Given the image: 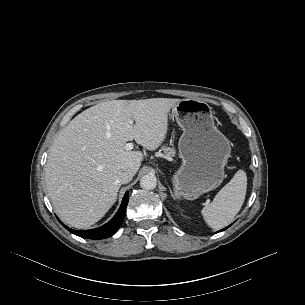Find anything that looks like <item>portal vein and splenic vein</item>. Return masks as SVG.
<instances>
[{
    "instance_id": "1",
    "label": "portal vein and splenic vein",
    "mask_w": 305,
    "mask_h": 305,
    "mask_svg": "<svg viewBox=\"0 0 305 305\" xmlns=\"http://www.w3.org/2000/svg\"><path fill=\"white\" fill-rule=\"evenodd\" d=\"M133 147H134L133 143L130 142V143H127L124 148H125V150L130 151L133 149ZM208 203H209V200L206 201V204H208Z\"/></svg>"
}]
</instances>
